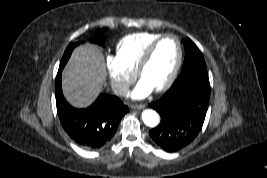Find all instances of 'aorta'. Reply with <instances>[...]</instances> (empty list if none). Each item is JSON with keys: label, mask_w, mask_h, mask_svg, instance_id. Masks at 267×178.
<instances>
[{"label": "aorta", "mask_w": 267, "mask_h": 178, "mask_svg": "<svg viewBox=\"0 0 267 178\" xmlns=\"http://www.w3.org/2000/svg\"><path fill=\"white\" fill-rule=\"evenodd\" d=\"M142 120L149 127H155L159 123V116L153 110H144L142 112Z\"/></svg>", "instance_id": "aorta-1"}]
</instances>
